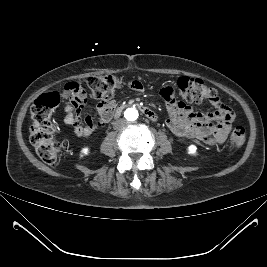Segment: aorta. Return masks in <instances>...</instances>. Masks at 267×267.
I'll use <instances>...</instances> for the list:
<instances>
[{
  "instance_id": "762f6f07",
  "label": "aorta",
  "mask_w": 267,
  "mask_h": 267,
  "mask_svg": "<svg viewBox=\"0 0 267 267\" xmlns=\"http://www.w3.org/2000/svg\"><path fill=\"white\" fill-rule=\"evenodd\" d=\"M125 117L130 122H135L139 117V112L135 107L128 108L125 111Z\"/></svg>"
}]
</instances>
